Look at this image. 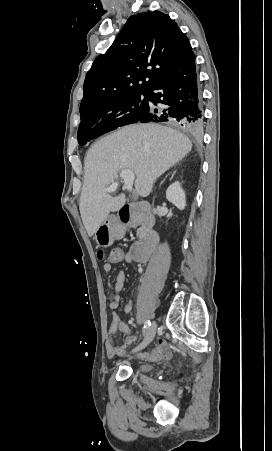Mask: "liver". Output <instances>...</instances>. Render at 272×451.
I'll list each match as a JSON object with an SVG mask.
<instances>
[{"instance_id": "liver-1", "label": "liver", "mask_w": 272, "mask_h": 451, "mask_svg": "<svg viewBox=\"0 0 272 451\" xmlns=\"http://www.w3.org/2000/svg\"><path fill=\"white\" fill-rule=\"evenodd\" d=\"M191 150L185 134L159 124H131L95 142L87 152L79 202L88 235H94L110 212L123 208L125 194L112 198L105 192L121 170L135 172L138 196H148L157 178Z\"/></svg>"}]
</instances>
